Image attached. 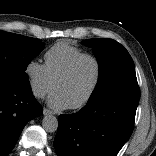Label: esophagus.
<instances>
[{
    "instance_id": "1",
    "label": "esophagus",
    "mask_w": 156,
    "mask_h": 156,
    "mask_svg": "<svg viewBox=\"0 0 156 156\" xmlns=\"http://www.w3.org/2000/svg\"><path fill=\"white\" fill-rule=\"evenodd\" d=\"M43 114H44V115H50V114H53V112L50 111L49 109L44 108Z\"/></svg>"
}]
</instances>
